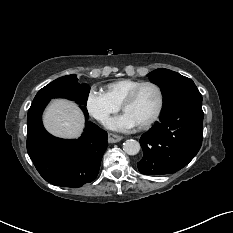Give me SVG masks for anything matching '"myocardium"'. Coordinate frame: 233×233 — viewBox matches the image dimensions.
<instances>
[{"instance_id": "myocardium-1", "label": "myocardium", "mask_w": 233, "mask_h": 233, "mask_svg": "<svg viewBox=\"0 0 233 233\" xmlns=\"http://www.w3.org/2000/svg\"><path fill=\"white\" fill-rule=\"evenodd\" d=\"M144 86H153L157 90V92H158V105H157V108H156L155 112L153 113V115L145 122L139 124V126L141 128H147V127L151 126L159 118V116L162 112L163 105H164V95H163V91H162L161 87L158 84H156L155 82H151V81L142 82L139 85H137L135 88H133L121 103V108L123 111H125L126 106L134 101V99L138 95L139 91Z\"/></svg>"}]
</instances>
